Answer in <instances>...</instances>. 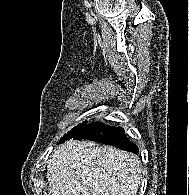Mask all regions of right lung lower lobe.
I'll use <instances>...</instances> for the list:
<instances>
[{
  "label": "right lung lower lobe",
  "mask_w": 189,
  "mask_h": 195,
  "mask_svg": "<svg viewBox=\"0 0 189 195\" xmlns=\"http://www.w3.org/2000/svg\"><path fill=\"white\" fill-rule=\"evenodd\" d=\"M69 139L97 141L133 153H138L139 151L137 145L127 138L124 129L121 127L105 125L102 122L87 124L79 133ZM63 142H65V140L60 141V143Z\"/></svg>",
  "instance_id": "right-lung-lower-lobe-1"
}]
</instances>
